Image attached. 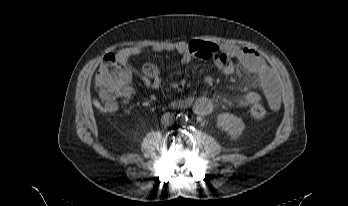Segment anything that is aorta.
<instances>
[{
  "mask_svg": "<svg viewBox=\"0 0 348 206\" xmlns=\"http://www.w3.org/2000/svg\"><path fill=\"white\" fill-rule=\"evenodd\" d=\"M176 120L179 124H185L188 122L189 118L186 114L180 113L177 115Z\"/></svg>",
  "mask_w": 348,
  "mask_h": 206,
  "instance_id": "obj_1",
  "label": "aorta"
}]
</instances>
